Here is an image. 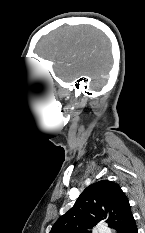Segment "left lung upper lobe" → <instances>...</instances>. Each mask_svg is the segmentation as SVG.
I'll return each instance as SVG.
<instances>
[{"mask_svg":"<svg viewBox=\"0 0 145 233\" xmlns=\"http://www.w3.org/2000/svg\"><path fill=\"white\" fill-rule=\"evenodd\" d=\"M133 220L128 198L120 186L101 180L81 193L74 206L53 225L50 233H91L92 227L102 221L111 225L115 221V228L124 233Z\"/></svg>","mask_w":145,"mask_h":233,"instance_id":"left-lung-upper-lobe-1","label":"left lung upper lobe"}]
</instances>
